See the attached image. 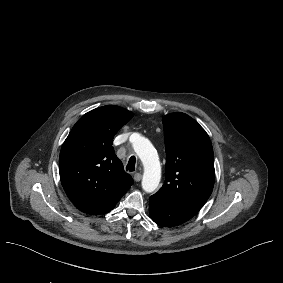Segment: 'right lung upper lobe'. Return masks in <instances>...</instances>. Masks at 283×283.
Instances as JSON below:
<instances>
[{
    "label": "right lung upper lobe",
    "mask_w": 283,
    "mask_h": 283,
    "mask_svg": "<svg viewBox=\"0 0 283 283\" xmlns=\"http://www.w3.org/2000/svg\"><path fill=\"white\" fill-rule=\"evenodd\" d=\"M132 117L118 106L100 107L84 114L66 138L59 157L61 183L81 211L109 212L133 184L112 147L115 134Z\"/></svg>",
    "instance_id": "obj_1"
}]
</instances>
